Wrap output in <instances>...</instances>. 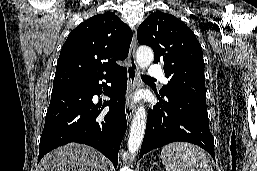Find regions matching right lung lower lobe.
<instances>
[{
  "instance_id": "1",
  "label": "right lung lower lobe",
  "mask_w": 257,
  "mask_h": 171,
  "mask_svg": "<svg viewBox=\"0 0 257 171\" xmlns=\"http://www.w3.org/2000/svg\"><path fill=\"white\" fill-rule=\"evenodd\" d=\"M105 79L111 87L105 91L109 101L94 105L92 98L105 90ZM127 71L120 67L114 73L87 82L53 87L45 125L40 139L38 162L51 150L70 142L83 143L99 150L117 167L118 151L127 128L125 93ZM109 106V111H103ZM100 108V109H98Z\"/></svg>"
}]
</instances>
